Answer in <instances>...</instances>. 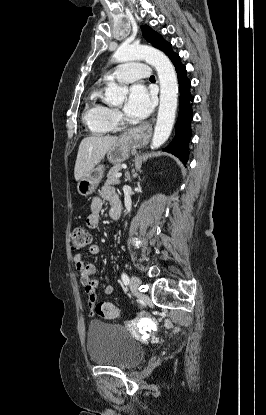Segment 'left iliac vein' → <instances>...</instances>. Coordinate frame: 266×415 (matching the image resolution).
Instances as JSON below:
<instances>
[{
  "label": "left iliac vein",
  "instance_id": "left-iliac-vein-1",
  "mask_svg": "<svg viewBox=\"0 0 266 415\" xmlns=\"http://www.w3.org/2000/svg\"><path fill=\"white\" fill-rule=\"evenodd\" d=\"M141 285V280L138 277L132 276L130 279V289L133 294L140 295L139 286Z\"/></svg>",
  "mask_w": 266,
  "mask_h": 415
}]
</instances>
